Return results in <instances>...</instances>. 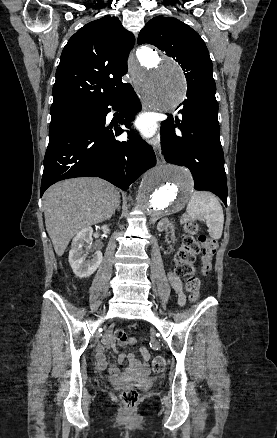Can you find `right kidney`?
<instances>
[{"mask_svg": "<svg viewBox=\"0 0 277 438\" xmlns=\"http://www.w3.org/2000/svg\"><path fill=\"white\" fill-rule=\"evenodd\" d=\"M101 230L104 234H109L110 232L108 226H102ZM92 234L93 228L88 226V228L80 230L72 240L69 264L77 278H89V276H92L103 260L102 252H95L91 260H86L87 256H84L83 248H85L86 244L92 242Z\"/></svg>", "mask_w": 277, "mask_h": 438, "instance_id": "1", "label": "right kidney"}]
</instances>
